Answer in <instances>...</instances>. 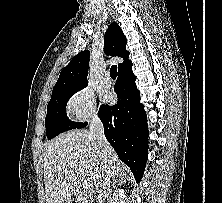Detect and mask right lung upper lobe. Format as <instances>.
<instances>
[{"instance_id": "cb5924a9", "label": "right lung upper lobe", "mask_w": 222, "mask_h": 203, "mask_svg": "<svg viewBox=\"0 0 222 203\" xmlns=\"http://www.w3.org/2000/svg\"><path fill=\"white\" fill-rule=\"evenodd\" d=\"M104 52L106 55L119 56L124 62L118 65V71L132 65L128 59L129 51L126 50V37L120 26L113 22L104 36ZM89 66V51L77 54L70 63L61 71L53 92L70 89L88 84L87 74Z\"/></svg>"}]
</instances>
